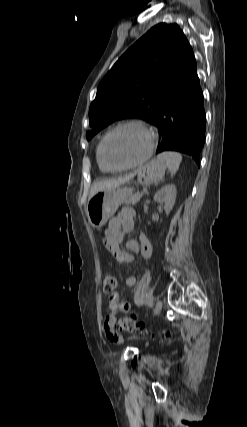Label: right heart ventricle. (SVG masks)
I'll list each match as a JSON object with an SVG mask.
<instances>
[{"mask_svg": "<svg viewBox=\"0 0 247 427\" xmlns=\"http://www.w3.org/2000/svg\"><path fill=\"white\" fill-rule=\"evenodd\" d=\"M100 144H101V140L96 147V161H97V164H98L100 171L107 173V172H109V170L103 165L101 158H100Z\"/></svg>", "mask_w": 247, "mask_h": 427, "instance_id": "obj_1", "label": "right heart ventricle"}]
</instances>
